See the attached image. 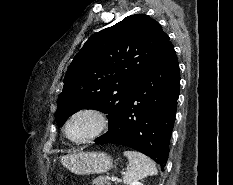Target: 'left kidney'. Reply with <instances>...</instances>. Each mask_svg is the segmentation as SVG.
<instances>
[{
  "label": "left kidney",
  "instance_id": "5707ae66",
  "mask_svg": "<svg viewBox=\"0 0 233 185\" xmlns=\"http://www.w3.org/2000/svg\"><path fill=\"white\" fill-rule=\"evenodd\" d=\"M132 185H143V184L140 183V182H135V183H133Z\"/></svg>",
  "mask_w": 233,
  "mask_h": 185
}]
</instances>
